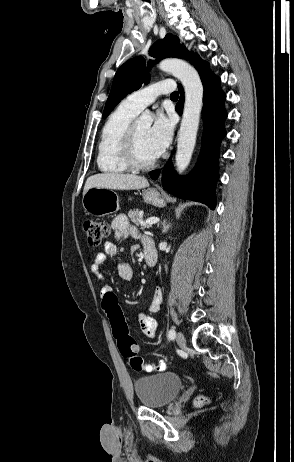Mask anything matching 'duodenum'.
Here are the masks:
<instances>
[{
  "mask_svg": "<svg viewBox=\"0 0 294 462\" xmlns=\"http://www.w3.org/2000/svg\"><path fill=\"white\" fill-rule=\"evenodd\" d=\"M144 259L148 266L153 267L157 263L158 253L153 243L146 242L143 244Z\"/></svg>",
  "mask_w": 294,
  "mask_h": 462,
  "instance_id": "duodenum-1",
  "label": "duodenum"
}]
</instances>
